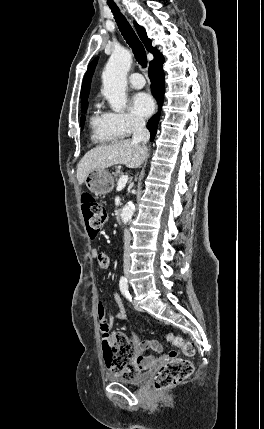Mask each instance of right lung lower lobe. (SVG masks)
Masks as SVG:
<instances>
[{
  "instance_id": "1",
  "label": "right lung lower lobe",
  "mask_w": 264,
  "mask_h": 429,
  "mask_svg": "<svg viewBox=\"0 0 264 429\" xmlns=\"http://www.w3.org/2000/svg\"><path fill=\"white\" fill-rule=\"evenodd\" d=\"M164 62V57L160 54L156 59H154L149 66V77L151 79V91L153 96L158 101L159 112L157 115L153 116L148 124L147 128L150 131L151 137L150 141H153L156 135L157 126L160 117V111L163 104V97L165 92L164 87V72L162 69V65Z\"/></svg>"
}]
</instances>
